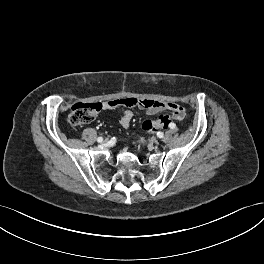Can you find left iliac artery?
I'll use <instances>...</instances> for the list:
<instances>
[{
	"label": "left iliac artery",
	"instance_id": "left-iliac-artery-1",
	"mask_svg": "<svg viewBox=\"0 0 264 264\" xmlns=\"http://www.w3.org/2000/svg\"><path fill=\"white\" fill-rule=\"evenodd\" d=\"M175 127H176V125H175L174 123H171V124H170V128H171V129H175Z\"/></svg>",
	"mask_w": 264,
	"mask_h": 264
}]
</instances>
